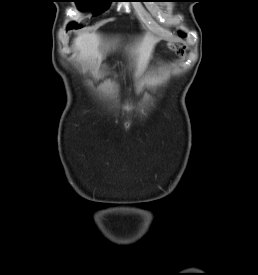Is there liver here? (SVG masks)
Masks as SVG:
<instances>
[{"label": "liver", "mask_w": 258, "mask_h": 275, "mask_svg": "<svg viewBox=\"0 0 258 275\" xmlns=\"http://www.w3.org/2000/svg\"><path fill=\"white\" fill-rule=\"evenodd\" d=\"M155 42L156 39L148 34L131 48L130 53L136 56L138 71H142L145 68ZM73 46L79 52V59L88 60L95 65L101 62L103 49L108 50L110 47L108 43L105 44L102 37L96 32H86L77 35L73 40Z\"/></svg>", "instance_id": "6515ba94"}]
</instances>
